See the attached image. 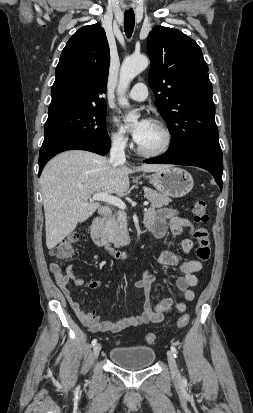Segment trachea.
<instances>
[{
	"label": "trachea",
	"mask_w": 253,
	"mask_h": 413,
	"mask_svg": "<svg viewBox=\"0 0 253 413\" xmlns=\"http://www.w3.org/2000/svg\"><path fill=\"white\" fill-rule=\"evenodd\" d=\"M135 24V14L133 10L125 11L124 15V31L128 38L132 36Z\"/></svg>",
	"instance_id": "obj_1"
}]
</instances>
